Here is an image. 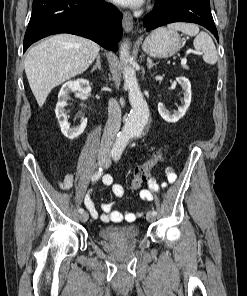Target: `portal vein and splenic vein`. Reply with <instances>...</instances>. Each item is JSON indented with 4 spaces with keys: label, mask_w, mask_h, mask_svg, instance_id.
I'll use <instances>...</instances> for the list:
<instances>
[{
    "label": "portal vein and splenic vein",
    "mask_w": 247,
    "mask_h": 296,
    "mask_svg": "<svg viewBox=\"0 0 247 296\" xmlns=\"http://www.w3.org/2000/svg\"><path fill=\"white\" fill-rule=\"evenodd\" d=\"M194 53H195V54H200V52H194ZM186 63H187V59H186V57H183V58L181 59V65H182V66H185Z\"/></svg>",
    "instance_id": "1"
}]
</instances>
